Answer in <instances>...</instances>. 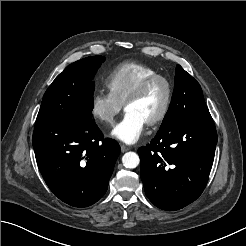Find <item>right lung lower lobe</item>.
Segmentation results:
<instances>
[{"label": "right lung lower lobe", "mask_w": 246, "mask_h": 246, "mask_svg": "<svg viewBox=\"0 0 246 246\" xmlns=\"http://www.w3.org/2000/svg\"><path fill=\"white\" fill-rule=\"evenodd\" d=\"M32 143L39 170L60 200L87 207L103 197L120 147L93 121L36 122Z\"/></svg>", "instance_id": "98d812e1"}]
</instances>
